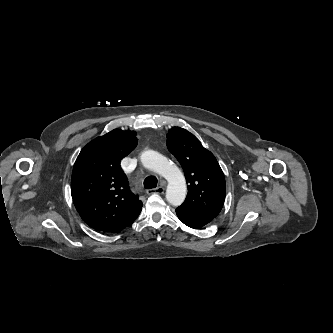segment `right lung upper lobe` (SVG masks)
<instances>
[{"label": "right lung upper lobe", "instance_id": "cb5924a9", "mask_svg": "<svg viewBox=\"0 0 333 333\" xmlns=\"http://www.w3.org/2000/svg\"><path fill=\"white\" fill-rule=\"evenodd\" d=\"M136 132L112 130L89 142L74 164L73 203L93 229L118 233L132 224L143 206L134 195L120 161L135 149Z\"/></svg>", "mask_w": 333, "mask_h": 333}]
</instances>
